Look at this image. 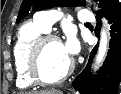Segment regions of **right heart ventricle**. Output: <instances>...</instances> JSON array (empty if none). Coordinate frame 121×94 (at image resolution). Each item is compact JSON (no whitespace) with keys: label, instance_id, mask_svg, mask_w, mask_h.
Segmentation results:
<instances>
[{"label":"right heart ventricle","instance_id":"1","mask_svg":"<svg viewBox=\"0 0 121 94\" xmlns=\"http://www.w3.org/2000/svg\"><path fill=\"white\" fill-rule=\"evenodd\" d=\"M47 33L36 21L24 24L17 36L13 49V58L17 75V85L22 89H29L34 86L26 69V56L31 43L40 35Z\"/></svg>","mask_w":121,"mask_h":94}]
</instances>
